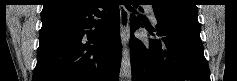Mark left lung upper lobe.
<instances>
[{"label":"left lung upper lobe","mask_w":237,"mask_h":81,"mask_svg":"<svg viewBox=\"0 0 237 81\" xmlns=\"http://www.w3.org/2000/svg\"><path fill=\"white\" fill-rule=\"evenodd\" d=\"M154 13L158 16H182L196 18L198 9L194 0H152Z\"/></svg>","instance_id":"obj_1"}]
</instances>
